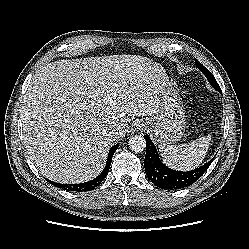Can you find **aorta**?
Wrapping results in <instances>:
<instances>
[{"label":"aorta","mask_w":249,"mask_h":249,"mask_svg":"<svg viewBox=\"0 0 249 249\" xmlns=\"http://www.w3.org/2000/svg\"><path fill=\"white\" fill-rule=\"evenodd\" d=\"M129 148L134 152H142L146 147V140L141 135L132 136L129 139Z\"/></svg>","instance_id":"762f6f07"}]
</instances>
